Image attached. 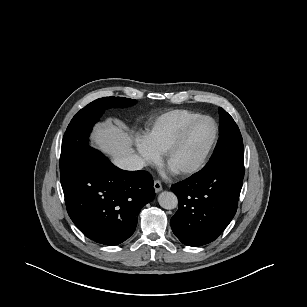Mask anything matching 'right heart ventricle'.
I'll list each match as a JSON object with an SVG mask.
<instances>
[{
	"mask_svg": "<svg viewBox=\"0 0 307 307\" xmlns=\"http://www.w3.org/2000/svg\"><path fill=\"white\" fill-rule=\"evenodd\" d=\"M200 115V113L186 109L165 112L154 119L145 139L157 153L162 154L179 130L188 121Z\"/></svg>",
	"mask_w": 307,
	"mask_h": 307,
	"instance_id": "obj_1",
	"label": "right heart ventricle"
}]
</instances>
